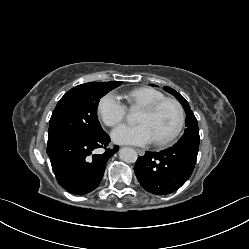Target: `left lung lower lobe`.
<instances>
[{"instance_id":"left-lung-lower-lobe-1","label":"left lung lower lobe","mask_w":249,"mask_h":249,"mask_svg":"<svg viewBox=\"0 0 249 249\" xmlns=\"http://www.w3.org/2000/svg\"><path fill=\"white\" fill-rule=\"evenodd\" d=\"M199 145L182 144L160 152H146L134 167L141 186L153 194L166 195L178 190L191 176Z\"/></svg>"}]
</instances>
